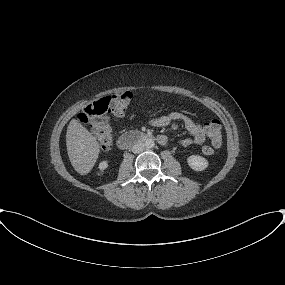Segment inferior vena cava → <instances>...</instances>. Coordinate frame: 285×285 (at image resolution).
Returning a JSON list of instances; mask_svg holds the SVG:
<instances>
[{"label":"inferior vena cava","mask_w":285,"mask_h":285,"mask_svg":"<svg viewBox=\"0 0 285 285\" xmlns=\"http://www.w3.org/2000/svg\"><path fill=\"white\" fill-rule=\"evenodd\" d=\"M144 149H145L144 143H136L132 147V152L134 154H139V153L143 152Z\"/></svg>","instance_id":"1"}]
</instances>
